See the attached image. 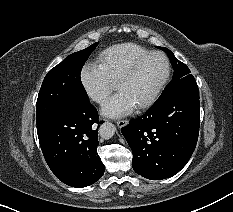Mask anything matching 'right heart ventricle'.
<instances>
[{"instance_id":"e07e8e85","label":"right heart ventricle","mask_w":233,"mask_h":212,"mask_svg":"<svg viewBox=\"0 0 233 212\" xmlns=\"http://www.w3.org/2000/svg\"><path fill=\"white\" fill-rule=\"evenodd\" d=\"M148 52L150 50L135 43L113 45L99 54L98 65L112 82H116L134 60Z\"/></svg>"}]
</instances>
